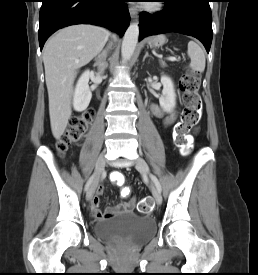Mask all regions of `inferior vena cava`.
Masks as SVG:
<instances>
[{
  "instance_id": "obj_1",
  "label": "inferior vena cava",
  "mask_w": 258,
  "mask_h": 275,
  "mask_svg": "<svg viewBox=\"0 0 258 275\" xmlns=\"http://www.w3.org/2000/svg\"><path fill=\"white\" fill-rule=\"evenodd\" d=\"M105 67H106V63L100 64V65H99V73H103Z\"/></svg>"
}]
</instances>
